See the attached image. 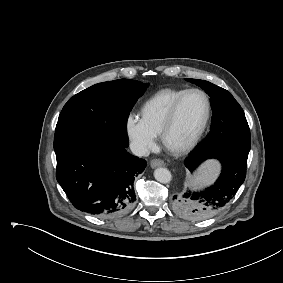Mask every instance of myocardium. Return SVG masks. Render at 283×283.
<instances>
[{
  "instance_id": "obj_1",
  "label": "myocardium",
  "mask_w": 283,
  "mask_h": 283,
  "mask_svg": "<svg viewBox=\"0 0 283 283\" xmlns=\"http://www.w3.org/2000/svg\"><path fill=\"white\" fill-rule=\"evenodd\" d=\"M192 93H198L200 95H202L205 99L206 102V113H205V117L204 120L199 128V130L197 131V133L194 135V137L186 144L180 146V147H170L167 144V135L169 133V131L171 130V128L174 125V122L176 120L177 117V113L179 111V108L183 102V100ZM211 113H212V105H211V100L210 97L208 96V94L203 91L202 89H198V88H191V89H187L184 93H182L178 99L174 102V104L172 105L167 118L161 128L160 131V140L162 145L169 150L170 152L174 153V154H182V153H186L188 151H190L191 149H193L198 142L200 141V139L202 138L208 124L211 118Z\"/></svg>"
}]
</instances>
